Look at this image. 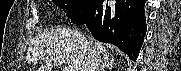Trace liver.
<instances>
[{"label": "liver", "mask_w": 181, "mask_h": 71, "mask_svg": "<svg viewBox=\"0 0 181 71\" xmlns=\"http://www.w3.org/2000/svg\"><path fill=\"white\" fill-rule=\"evenodd\" d=\"M87 38L76 30L58 28L39 33L28 47L27 64L45 60V64L37 71H52L53 66L65 64L73 71H85L88 62ZM96 52L108 56L102 43L88 38ZM65 71V70H64Z\"/></svg>", "instance_id": "liver-1"}]
</instances>
